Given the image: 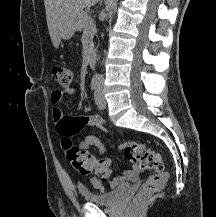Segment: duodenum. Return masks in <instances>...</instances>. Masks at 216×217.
<instances>
[{"mask_svg": "<svg viewBox=\"0 0 216 217\" xmlns=\"http://www.w3.org/2000/svg\"><path fill=\"white\" fill-rule=\"evenodd\" d=\"M88 58H89V65H90V67H94L95 66V62H96V54H95V50H94L93 47L89 48Z\"/></svg>", "mask_w": 216, "mask_h": 217, "instance_id": "obj_1", "label": "duodenum"}]
</instances>
